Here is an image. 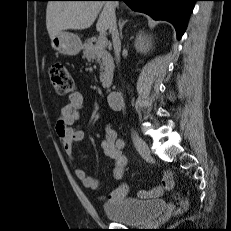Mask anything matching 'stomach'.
Wrapping results in <instances>:
<instances>
[{"label": "stomach", "mask_w": 231, "mask_h": 231, "mask_svg": "<svg viewBox=\"0 0 231 231\" xmlns=\"http://www.w3.org/2000/svg\"><path fill=\"white\" fill-rule=\"evenodd\" d=\"M51 46L61 54L75 56L81 51L82 42L78 35L62 31L51 39Z\"/></svg>", "instance_id": "obj_1"}]
</instances>
